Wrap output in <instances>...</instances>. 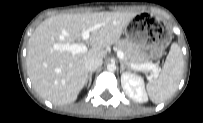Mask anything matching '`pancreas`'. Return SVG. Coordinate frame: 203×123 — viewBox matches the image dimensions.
<instances>
[{
  "label": "pancreas",
  "mask_w": 203,
  "mask_h": 123,
  "mask_svg": "<svg viewBox=\"0 0 203 123\" xmlns=\"http://www.w3.org/2000/svg\"><path fill=\"white\" fill-rule=\"evenodd\" d=\"M116 48L124 53V62L128 65L144 64L148 62L138 46L129 40H120L116 42Z\"/></svg>",
  "instance_id": "pancreas-1"
}]
</instances>
